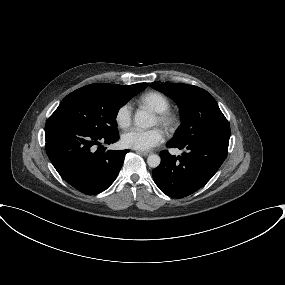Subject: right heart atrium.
<instances>
[{
    "label": "right heart atrium",
    "instance_id": "1",
    "mask_svg": "<svg viewBox=\"0 0 285 285\" xmlns=\"http://www.w3.org/2000/svg\"><path fill=\"white\" fill-rule=\"evenodd\" d=\"M116 123L121 128H127L132 122V106L130 103L121 105L115 115Z\"/></svg>",
    "mask_w": 285,
    "mask_h": 285
}]
</instances>
